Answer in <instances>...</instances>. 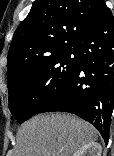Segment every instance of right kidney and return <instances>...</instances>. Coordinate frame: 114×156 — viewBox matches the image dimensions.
<instances>
[{"instance_id":"obj_1","label":"right kidney","mask_w":114,"mask_h":156,"mask_svg":"<svg viewBox=\"0 0 114 156\" xmlns=\"http://www.w3.org/2000/svg\"><path fill=\"white\" fill-rule=\"evenodd\" d=\"M102 147L97 142H90L80 147L73 156H101Z\"/></svg>"}]
</instances>
